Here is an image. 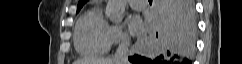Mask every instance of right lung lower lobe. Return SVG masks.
Masks as SVG:
<instances>
[{
  "instance_id": "1",
  "label": "right lung lower lobe",
  "mask_w": 242,
  "mask_h": 64,
  "mask_svg": "<svg viewBox=\"0 0 242 64\" xmlns=\"http://www.w3.org/2000/svg\"><path fill=\"white\" fill-rule=\"evenodd\" d=\"M160 53L153 60L138 55L133 64H188L195 41L196 17L192 0H156ZM158 36V35H157Z\"/></svg>"
}]
</instances>
